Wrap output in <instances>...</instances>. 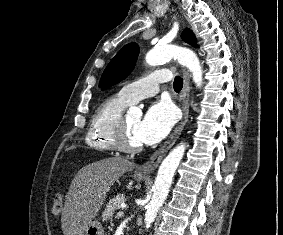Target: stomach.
Segmentation results:
<instances>
[{"instance_id":"stomach-1","label":"stomach","mask_w":283,"mask_h":235,"mask_svg":"<svg viewBox=\"0 0 283 235\" xmlns=\"http://www.w3.org/2000/svg\"><path fill=\"white\" fill-rule=\"evenodd\" d=\"M134 178L138 181H143L146 176L138 172L134 173ZM84 235H104L102 224L99 220L95 219L90 222Z\"/></svg>"}]
</instances>
